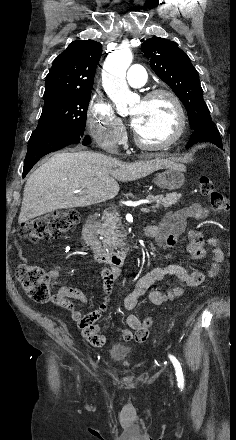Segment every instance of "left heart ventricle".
Instances as JSON below:
<instances>
[{"label": "left heart ventricle", "mask_w": 236, "mask_h": 440, "mask_svg": "<svg viewBox=\"0 0 236 440\" xmlns=\"http://www.w3.org/2000/svg\"><path fill=\"white\" fill-rule=\"evenodd\" d=\"M130 114L138 118L135 132L145 142L162 143L170 139L176 130L175 109L167 97L140 100L133 105Z\"/></svg>", "instance_id": "left-heart-ventricle-1"}]
</instances>
